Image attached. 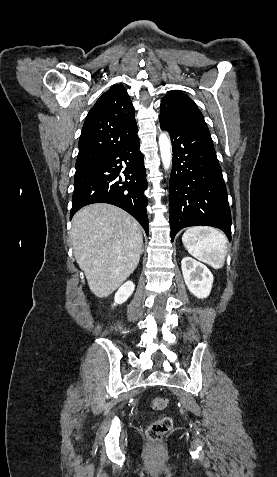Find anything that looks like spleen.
<instances>
[{
  "label": "spleen",
  "instance_id": "spleen-1",
  "mask_svg": "<svg viewBox=\"0 0 277 477\" xmlns=\"http://www.w3.org/2000/svg\"><path fill=\"white\" fill-rule=\"evenodd\" d=\"M182 242L193 257L215 269L223 267L227 253V238L216 228L194 226L188 228Z\"/></svg>",
  "mask_w": 277,
  "mask_h": 477
}]
</instances>
